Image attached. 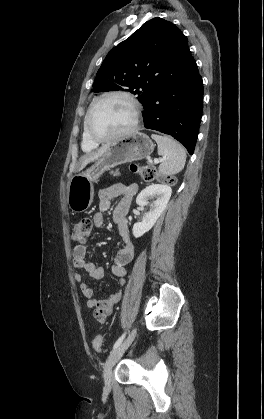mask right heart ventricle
<instances>
[{"label":"right heart ventricle","instance_id":"e07e8e85","mask_svg":"<svg viewBox=\"0 0 264 419\" xmlns=\"http://www.w3.org/2000/svg\"><path fill=\"white\" fill-rule=\"evenodd\" d=\"M97 146H98V143L91 141L89 137L87 136L86 131H85V126L83 124V133H82V141H81L82 150L85 152H90L96 149Z\"/></svg>","mask_w":264,"mask_h":419}]
</instances>
